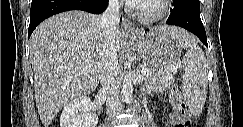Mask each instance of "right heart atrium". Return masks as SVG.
<instances>
[{"mask_svg": "<svg viewBox=\"0 0 243 127\" xmlns=\"http://www.w3.org/2000/svg\"><path fill=\"white\" fill-rule=\"evenodd\" d=\"M115 4H116V2H115V1H112V2H111V5H113V6H114Z\"/></svg>", "mask_w": 243, "mask_h": 127, "instance_id": "right-heart-atrium-1", "label": "right heart atrium"}]
</instances>
